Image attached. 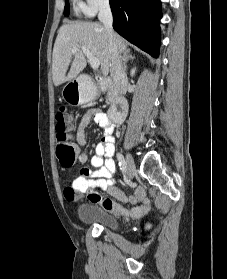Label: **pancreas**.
<instances>
[{
  "label": "pancreas",
  "mask_w": 227,
  "mask_h": 279,
  "mask_svg": "<svg viewBox=\"0 0 227 279\" xmlns=\"http://www.w3.org/2000/svg\"><path fill=\"white\" fill-rule=\"evenodd\" d=\"M115 99V90L113 89L112 86H109L107 89V95H106V103L107 104H112Z\"/></svg>",
  "instance_id": "obj_1"
}]
</instances>
